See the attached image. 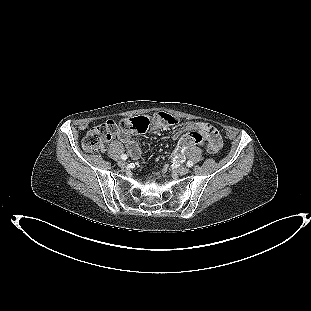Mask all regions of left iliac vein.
I'll return each instance as SVG.
<instances>
[{"label":"left iliac vein","instance_id":"4c4485c4","mask_svg":"<svg viewBox=\"0 0 311 311\" xmlns=\"http://www.w3.org/2000/svg\"><path fill=\"white\" fill-rule=\"evenodd\" d=\"M176 172L179 174V175H186L188 172H189V168L187 167H180L176 170Z\"/></svg>","mask_w":311,"mask_h":311}]
</instances>
